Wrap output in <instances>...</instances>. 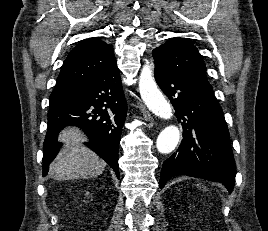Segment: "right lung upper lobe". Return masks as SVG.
<instances>
[{"label": "right lung upper lobe", "mask_w": 268, "mask_h": 231, "mask_svg": "<svg viewBox=\"0 0 268 231\" xmlns=\"http://www.w3.org/2000/svg\"><path fill=\"white\" fill-rule=\"evenodd\" d=\"M115 63L111 45L98 38L83 40L73 48L63 63L55 90L77 89Z\"/></svg>", "instance_id": "cb5924a9"}]
</instances>
